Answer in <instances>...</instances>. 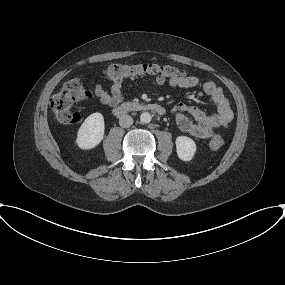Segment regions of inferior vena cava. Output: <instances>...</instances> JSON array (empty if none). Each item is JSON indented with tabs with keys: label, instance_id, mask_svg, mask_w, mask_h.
Here are the masks:
<instances>
[{
	"label": "inferior vena cava",
	"instance_id": "1",
	"mask_svg": "<svg viewBox=\"0 0 285 285\" xmlns=\"http://www.w3.org/2000/svg\"><path fill=\"white\" fill-rule=\"evenodd\" d=\"M132 124H133V118L128 114L122 115L119 119V125L123 128H128Z\"/></svg>",
	"mask_w": 285,
	"mask_h": 285
}]
</instances>
